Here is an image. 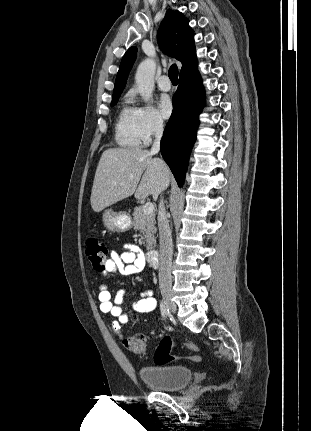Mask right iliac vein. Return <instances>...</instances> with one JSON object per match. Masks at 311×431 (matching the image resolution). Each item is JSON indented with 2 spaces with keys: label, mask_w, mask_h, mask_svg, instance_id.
Here are the masks:
<instances>
[{
  "label": "right iliac vein",
  "mask_w": 311,
  "mask_h": 431,
  "mask_svg": "<svg viewBox=\"0 0 311 431\" xmlns=\"http://www.w3.org/2000/svg\"><path fill=\"white\" fill-rule=\"evenodd\" d=\"M162 297L164 299V302L167 304L168 308L175 313L177 308L175 303L172 301V296L169 292H163Z\"/></svg>",
  "instance_id": "1"
}]
</instances>
